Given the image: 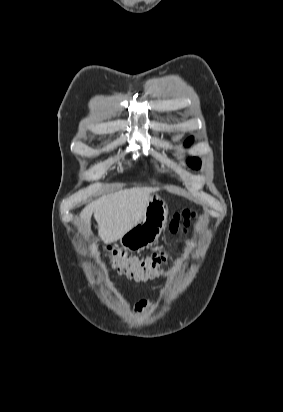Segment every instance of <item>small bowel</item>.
<instances>
[{
    "label": "small bowel",
    "mask_w": 283,
    "mask_h": 412,
    "mask_svg": "<svg viewBox=\"0 0 283 412\" xmlns=\"http://www.w3.org/2000/svg\"><path fill=\"white\" fill-rule=\"evenodd\" d=\"M153 307V303L147 299H141L137 302L134 308V314L140 315L142 312Z\"/></svg>",
    "instance_id": "1"
}]
</instances>
